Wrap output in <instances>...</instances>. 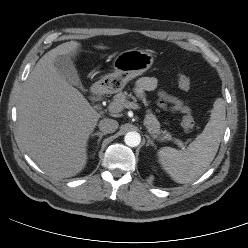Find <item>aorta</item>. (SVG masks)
Returning <instances> with one entry per match:
<instances>
[{
	"label": "aorta",
	"instance_id": "1",
	"mask_svg": "<svg viewBox=\"0 0 248 248\" xmlns=\"http://www.w3.org/2000/svg\"><path fill=\"white\" fill-rule=\"evenodd\" d=\"M124 142L129 147H137L141 142V136L137 132H128L124 137Z\"/></svg>",
	"mask_w": 248,
	"mask_h": 248
}]
</instances>
